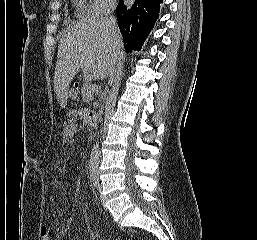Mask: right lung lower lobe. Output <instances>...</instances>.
<instances>
[{
  "label": "right lung lower lobe",
  "instance_id": "obj_1",
  "mask_svg": "<svg viewBox=\"0 0 257 240\" xmlns=\"http://www.w3.org/2000/svg\"><path fill=\"white\" fill-rule=\"evenodd\" d=\"M161 3L163 0H135L132 5H126L119 1L116 13L126 51L142 48L158 19Z\"/></svg>",
  "mask_w": 257,
  "mask_h": 240
}]
</instances>
